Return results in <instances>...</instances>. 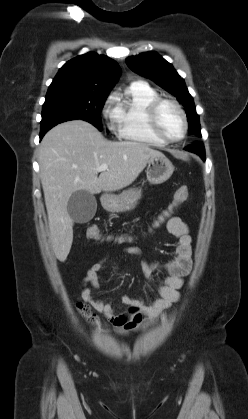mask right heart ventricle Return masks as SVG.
I'll list each match as a JSON object with an SVG mask.
<instances>
[{"mask_svg": "<svg viewBox=\"0 0 248 419\" xmlns=\"http://www.w3.org/2000/svg\"><path fill=\"white\" fill-rule=\"evenodd\" d=\"M157 97V92L143 82L131 83L117 96L115 123L119 138L152 146L164 145L150 132L146 120L147 106Z\"/></svg>", "mask_w": 248, "mask_h": 419, "instance_id": "e07e8e85", "label": "right heart ventricle"}]
</instances>
